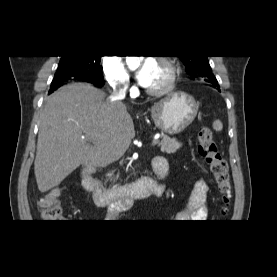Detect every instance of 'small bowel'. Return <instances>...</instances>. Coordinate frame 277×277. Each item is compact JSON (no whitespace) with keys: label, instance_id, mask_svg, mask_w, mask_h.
<instances>
[{"label":"small bowel","instance_id":"1","mask_svg":"<svg viewBox=\"0 0 277 277\" xmlns=\"http://www.w3.org/2000/svg\"><path fill=\"white\" fill-rule=\"evenodd\" d=\"M155 158V157H154ZM152 160V168L154 173L162 180L165 181L168 174L165 177H161V169L158 167L157 163ZM161 158V157H160ZM165 161V160H164ZM166 162V161H165ZM209 187L204 180H198L193 188V191L188 199L185 208L177 214L179 220H203L207 217V193ZM164 191V184L160 195ZM113 216V214H112Z\"/></svg>","mask_w":277,"mask_h":277}]
</instances>
